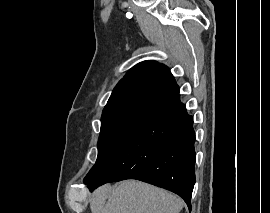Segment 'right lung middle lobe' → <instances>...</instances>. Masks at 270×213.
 Returning a JSON list of instances; mask_svg holds the SVG:
<instances>
[{"label": "right lung middle lobe", "instance_id": "1", "mask_svg": "<svg viewBox=\"0 0 270 213\" xmlns=\"http://www.w3.org/2000/svg\"><path fill=\"white\" fill-rule=\"evenodd\" d=\"M155 106L148 103H135L102 114L98 157L95 165L84 178V182L95 177L109 163Z\"/></svg>", "mask_w": 270, "mask_h": 213}]
</instances>
